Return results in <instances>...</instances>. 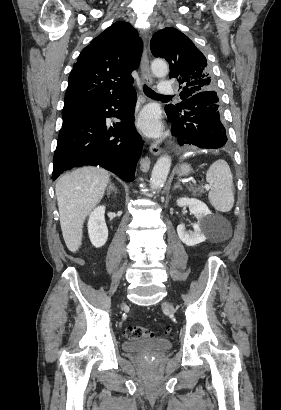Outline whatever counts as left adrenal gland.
Segmentation results:
<instances>
[{"label":"left adrenal gland","mask_w":281,"mask_h":410,"mask_svg":"<svg viewBox=\"0 0 281 410\" xmlns=\"http://www.w3.org/2000/svg\"><path fill=\"white\" fill-rule=\"evenodd\" d=\"M176 189H182V187H181V185H180L179 182H177V183L173 186V190H176Z\"/></svg>","instance_id":"left-adrenal-gland-1"}]
</instances>
